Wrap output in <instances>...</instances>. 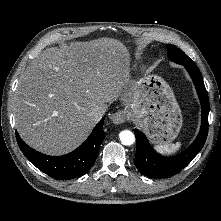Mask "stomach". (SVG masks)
I'll use <instances>...</instances> for the list:
<instances>
[{"label": "stomach", "instance_id": "stomach-1", "mask_svg": "<svg viewBox=\"0 0 221 221\" xmlns=\"http://www.w3.org/2000/svg\"><path fill=\"white\" fill-rule=\"evenodd\" d=\"M134 99L126 111L155 144H168L179 134L182 114L170 86L160 76L147 74L134 85Z\"/></svg>", "mask_w": 221, "mask_h": 221}]
</instances>
